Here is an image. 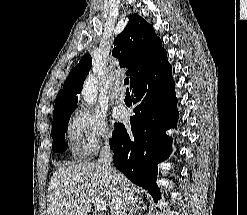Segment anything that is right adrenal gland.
Here are the masks:
<instances>
[{
  "instance_id": "obj_1",
  "label": "right adrenal gland",
  "mask_w": 247,
  "mask_h": 215,
  "mask_svg": "<svg viewBox=\"0 0 247 215\" xmlns=\"http://www.w3.org/2000/svg\"><path fill=\"white\" fill-rule=\"evenodd\" d=\"M146 209V206L144 204L142 205H137V204H132L131 208H130V213L129 215H136V213L138 211H143Z\"/></svg>"
}]
</instances>
